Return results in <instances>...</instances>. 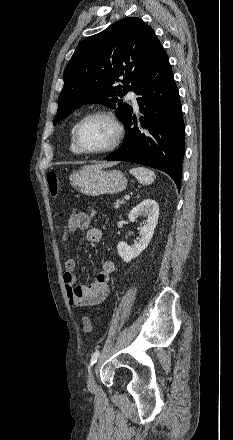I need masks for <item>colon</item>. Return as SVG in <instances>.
<instances>
[{
    "label": "colon",
    "instance_id": "5ec220e1",
    "mask_svg": "<svg viewBox=\"0 0 233 440\" xmlns=\"http://www.w3.org/2000/svg\"><path fill=\"white\" fill-rule=\"evenodd\" d=\"M47 184H48V189H49L50 195L52 197H56L59 192V187H60L59 175L57 173L50 172L47 175ZM82 324H83V331L85 333H89L92 331L93 323L89 317H84L82 320Z\"/></svg>",
    "mask_w": 233,
    "mask_h": 440
}]
</instances>
